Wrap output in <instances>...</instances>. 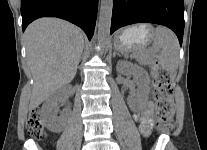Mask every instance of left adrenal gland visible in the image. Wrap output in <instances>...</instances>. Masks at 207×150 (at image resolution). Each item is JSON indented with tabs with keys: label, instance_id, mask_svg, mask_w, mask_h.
<instances>
[{
	"label": "left adrenal gland",
	"instance_id": "1",
	"mask_svg": "<svg viewBox=\"0 0 207 150\" xmlns=\"http://www.w3.org/2000/svg\"><path fill=\"white\" fill-rule=\"evenodd\" d=\"M117 54V52H116V50H114V53H113V55L115 56Z\"/></svg>",
	"mask_w": 207,
	"mask_h": 150
}]
</instances>
